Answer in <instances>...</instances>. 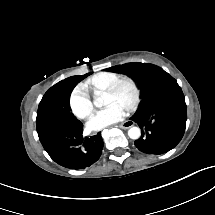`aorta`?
Listing matches in <instances>:
<instances>
[{
    "label": "aorta",
    "mask_w": 215,
    "mask_h": 215,
    "mask_svg": "<svg viewBox=\"0 0 215 215\" xmlns=\"http://www.w3.org/2000/svg\"><path fill=\"white\" fill-rule=\"evenodd\" d=\"M93 103L96 107H102L103 105L109 103V99L106 97L104 93H101L100 96H98ZM128 136L131 139H138L141 136V131L138 127H131L128 130Z\"/></svg>",
    "instance_id": "obj_1"
}]
</instances>
